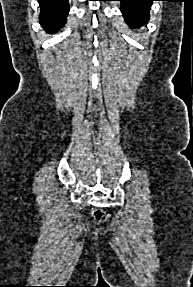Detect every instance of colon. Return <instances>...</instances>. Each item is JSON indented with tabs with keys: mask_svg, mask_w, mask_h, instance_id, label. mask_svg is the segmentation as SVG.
<instances>
[{
	"mask_svg": "<svg viewBox=\"0 0 193 287\" xmlns=\"http://www.w3.org/2000/svg\"><path fill=\"white\" fill-rule=\"evenodd\" d=\"M92 215H93L94 219L99 221V222H103V221L107 220V218H108L107 212L102 208H96L95 210H93Z\"/></svg>",
	"mask_w": 193,
	"mask_h": 287,
	"instance_id": "1",
	"label": "colon"
}]
</instances>
